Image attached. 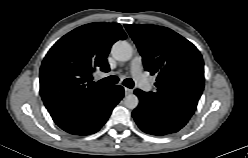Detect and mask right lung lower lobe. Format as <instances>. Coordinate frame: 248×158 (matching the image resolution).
Listing matches in <instances>:
<instances>
[{
    "mask_svg": "<svg viewBox=\"0 0 248 158\" xmlns=\"http://www.w3.org/2000/svg\"><path fill=\"white\" fill-rule=\"evenodd\" d=\"M123 96L122 86H110L87 102L66 111L53 113L51 116L61 129L70 134H93L105 124Z\"/></svg>",
    "mask_w": 248,
    "mask_h": 158,
    "instance_id": "1",
    "label": "right lung lower lobe"
}]
</instances>
